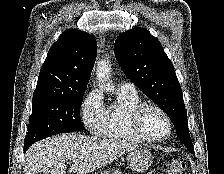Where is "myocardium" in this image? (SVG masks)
Segmentation results:
<instances>
[{
  "label": "myocardium",
  "mask_w": 224,
  "mask_h": 174,
  "mask_svg": "<svg viewBox=\"0 0 224 174\" xmlns=\"http://www.w3.org/2000/svg\"><path fill=\"white\" fill-rule=\"evenodd\" d=\"M148 110H155L160 113L167 122V133L162 137L149 136L143 128V117ZM131 125L134 132L144 141L151 143H160L167 140L172 133V121L167 112L160 106L151 103H141L136 107L131 115Z\"/></svg>",
  "instance_id": "f54148a6"
}]
</instances>
